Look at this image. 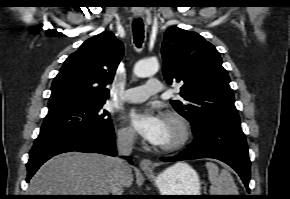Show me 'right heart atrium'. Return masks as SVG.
I'll return each mask as SVG.
<instances>
[{
  "label": "right heart atrium",
  "mask_w": 290,
  "mask_h": 199,
  "mask_svg": "<svg viewBox=\"0 0 290 199\" xmlns=\"http://www.w3.org/2000/svg\"><path fill=\"white\" fill-rule=\"evenodd\" d=\"M118 139L123 144L132 145L136 141V135L131 128L122 126L118 130Z\"/></svg>",
  "instance_id": "d8ad5b80"
}]
</instances>
